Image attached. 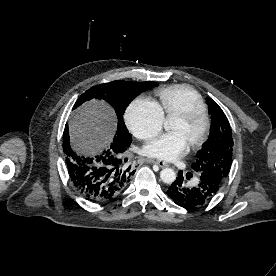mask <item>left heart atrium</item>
Wrapping results in <instances>:
<instances>
[{"instance_id": "obj_1", "label": "left heart atrium", "mask_w": 276, "mask_h": 276, "mask_svg": "<svg viewBox=\"0 0 276 276\" xmlns=\"http://www.w3.org/2000/svg\"><path fill=\"white\" fill-rule=\"evenodd\" d=\"M189 143L179 132L164 134L144 147L145 155L162 160L175 161L184 156L189 151Z\"/></svg>"}]
</instances>
